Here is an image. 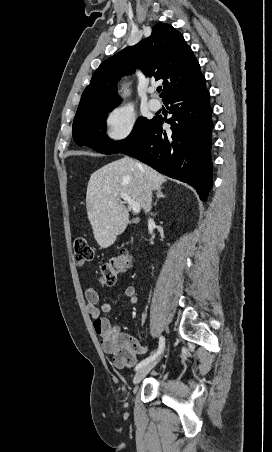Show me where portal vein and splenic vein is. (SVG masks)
I'll return each mask as SVG.
<instances>
[{
	"instance_id": "obj_1",
	"label": "portal vein and splenic vein",
	"mask_w": 272,
	"mask_h": 452,
	"mask_svg": "<svg viewBox=\"0 0 272 452\" xmlns=\"http://www.w3.org/2000/svg\"><path fill=\"white\" fill-rule=\"evenodd\" d=\"M120 197L128 204L129 208L132 209L134 213L140 212V205L133 201L127 193H120Z\"/></svg>"
}]
</instances>
